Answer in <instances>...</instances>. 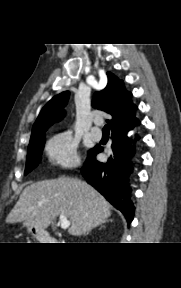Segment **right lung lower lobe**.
Instances as JSON below:
<instances>
[{"label": "right lung lower lobe", "instance_id": "1", "mask_svg": "<svg viewBox=\"0 0 181 288\" xmlns=\"http://www.w3.org/2000/svg\"><path fill=\"white\" fill-rule=\"evenodd\" d=\"M140 122L132 126L112 131L111 154L107 163L95 160L101 147L95 146L88 153V158L81 169L84 178L95 187L113 206L120 210L128 223L134 218V205L131 201L132 188L130 175L133 173L131 155L135 153V146L131 145L128 132ZM138 135L135 140H139ZM132 152V154H131Z\"/></svg>", "mask_w": 181, "mask_h": 288}]
</instances>
